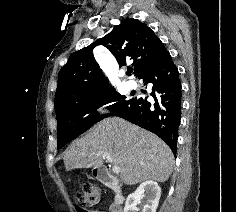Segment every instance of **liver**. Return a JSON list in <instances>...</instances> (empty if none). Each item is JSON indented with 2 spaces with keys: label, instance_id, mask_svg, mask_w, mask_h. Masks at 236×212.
Masks as SVG:
<instances>
[{
  "label": "liver",
  "instance_id": "liver-1",
  "mask_svg": "<svg viewBox=\"0 0 236 212\" xmlns=\"http://www.w3.org/2000/svg\"><path fill=\"white\" fill-rule=\"evenodd\" d=\"M106 152L127 185L146 180L165 182L172 173L174 157L169 146L155 134L118 117L107 118L72 142L64 156L67 171L100 168Z\"/></svg>",
  "mask_w": 236,
  "mask_h": 212
}]
</instances>
